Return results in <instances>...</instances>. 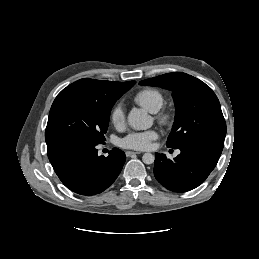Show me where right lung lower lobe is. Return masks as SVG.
I'll return each instance as SVG.
<instances>
[{
	"label": "right lung lower lobe",
	"instance_id": "98d812e1",
	"mask_svg": "<svg viewBox=\"0 0 259 259\" xmlns=\"http://www.w3.org/2000/svg\"><path fill=\"white\" fill-rule=\"evenodd\" d=\"M97 143L67 141L47 144V154L62 183L80 195H95L108 188L125 163L122 150L114 148L108 157L98 156Z\"/></svg>",
	"mask_w": 259,
	"mask_h": 259
}]
</instances>
